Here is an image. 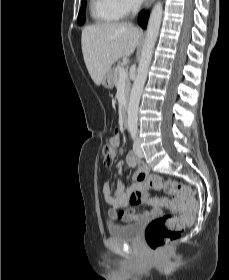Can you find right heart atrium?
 I'll use <instances>...</instances> for the list:
<instances>
[{
    "label": "right heart atrium",
    "instance_id": "1",
    "mask_svg": "<svg viewBox=\"0 0 229 280\" xmlns=\"http://www.w3.org/2000/svg\"><path fill=\"white\" fill-rule=\"evenodd\" d=\"M139 0H111L113 7L118 12L120 18L127 17L139 6Z\"/></svg>",
    "mask_w": 229,
    "mask_h": 280
}]
</instances>
